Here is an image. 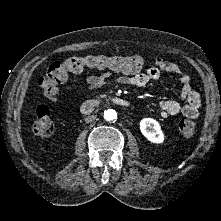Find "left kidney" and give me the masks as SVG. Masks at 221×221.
Instances as JSON below:
<instances>
[{"mask_svg":"<svg viewBox=\"0 0 221 221\" xmlns=\"http://www.w3.org/2000/svg\"><path fill=\"white\" fill-rule=\"evenodd\" d=\"M140 131L152 143H162L164 134L160 124L153 118H144L140 121Z\"/></svg>","mask_w":221,"mask_h":221,"instance_id":"obj_1","label":"left kidney"}]
</instances>
